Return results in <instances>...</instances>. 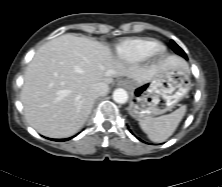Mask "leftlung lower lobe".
I'll return each instance as SVG.
<instances>
[{
    "label": "left lung lower lobe",
    "instance_id": "1",
    "mask_svg": "<svg viewBox=\"0 0 222 187\" xmlns=\"http://www.w3.org/2000/svg\"><path fill=\"white\" fill-rule=\"evenodd\" d=\"M185 59H187V56H184ZM140 140V139H139Z\"/></svg>",
    "mask_w": 222,
    "mask_h": 187
}]
</instances>
